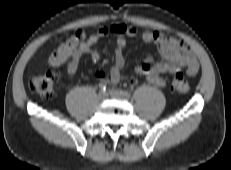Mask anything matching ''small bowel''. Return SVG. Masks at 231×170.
<instances>
[{"mask_svg": "<svg viewBox=\"0 0 231 170\" xmlns=\"http://www.w3.org/2000/svg\"><path fill=\"white\" fill-rule=\"evenodd\" d=\"M108 34L116 36L114 64L108 72L100 73L99 77L102 82L112 84L123 78L122 69L125 66L124 50L127 47V39L134 38L137 35L136 27L125 23L101 27L87 39L82 40L67 62L68 77H73L76 74L83 56L88 55L93 62L99 61L100 54L97 44ZM141 38L146 43H155L162 57L160 62H155L153 58L148 57L135 69L139 75L145 77L150 83L159 87H166L167 82L162 74L177 73L183 69L190 76L197 74L199 64L196 56L192 49L181 40L157 30H146L142 33ZM125 78L131 85L137 82L132 75Z\"/></svg>", "mask_w": 231, "mask_h": 170, "instance_id": "c3829d8e", "label": "small bowel"}]
</instances>
